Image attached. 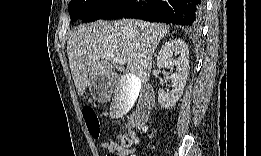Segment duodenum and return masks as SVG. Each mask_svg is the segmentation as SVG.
<instances>
[{"label": "duodenum", "mask_w": 261, "mask_h": 156, "mask_svg": "<svg viewBox=\"0 0 261 156\" xmlns=\"http://www.w3.org/2000/svg\"><path fill=\"white\" fill-rule=\"evenodd\" d=\"M154 92L151 88H146L143 92L142 99L139 103L138 113L136 118L147 116L153 108Z\"/></svg>", "instance_id": "410a0bca"}]
</instances>
